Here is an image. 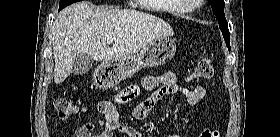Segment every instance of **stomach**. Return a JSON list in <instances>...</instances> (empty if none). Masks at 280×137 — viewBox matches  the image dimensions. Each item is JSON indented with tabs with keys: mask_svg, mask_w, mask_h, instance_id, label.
Segmentation results:
<instances>
[{
	"mask_svg": "<svg viewBox=\"0 0 280 137\" xmlns=\"http://www.w3.org/2000/svg\"><path fill=\"white\" fill-rule=\"evenodd\" d=\"M175 52L176 43L172 39L160 38L135 55L103 62L98 66L94 81L100 88H112L143 68L164 65L171 60Z\"/></svg>",
	"mask_w": 280,
	"mask_h": 137,
	"instance_id": "obj_1",
	"label": "stomach"
}]
</instances>
